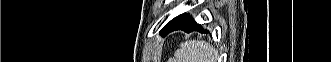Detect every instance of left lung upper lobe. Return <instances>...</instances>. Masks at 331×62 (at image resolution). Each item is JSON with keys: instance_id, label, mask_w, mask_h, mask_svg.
Masks as SVG:
<instances>
[{"instance_id": "1", "label": "left lung upper lobe", "mask_w": 331, "mask_h": 62, "mask_svg": "<svg viewBox=\"0 0 331 62\" xmlns=\"http://www.w3.org/2000/svg\"><path fill=\"white\" fill-rule=\"evenodd\" d=\"M163 31H164V28L161 30V32L163 33Z\"/></svg>"}]
</instances>
